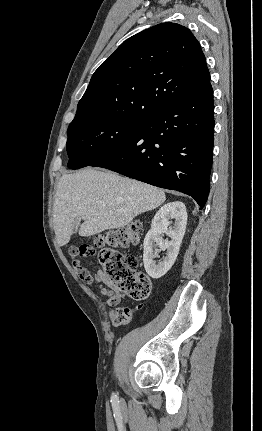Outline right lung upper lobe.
Masks as SVG:
<instances>
[{"instance_id":"right-lung-upper-lobe-1","label":"right lung upper lobe","mask_w":262,"mask_h":431,"mask_svg":"<svg viewBox=\"0 0 262 431\" xmlns=\"http://www.w3.org/2000/svg\"><path fill=\"white\" fill-rule=\"evenodd\" d=\"M210 85L200 44L189 29L162 23L124 41L93 74L69 126L91 120L143 119Z\"/></svg>"}]
</instances>
